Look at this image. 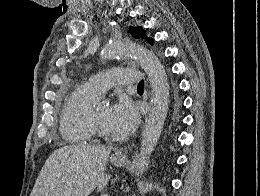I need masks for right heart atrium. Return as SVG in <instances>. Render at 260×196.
I'll list each match as a JSON object with an SVG mask.
<instances>
[{
    "label": "right heart atrium",
    "mask_w": 260,
    "mask_h": 196,
    "mask_svg": "<svg viewBox=\"0 0 260 196\" xmlns=\"http://www.w3.org/2000/svg\"><path fill=\"white\" fill-rule=\"evenodd\" d=\"M82 191L83 190H54V192H82Z\"/></svg>",
    "instance_id": "1"
}]
</instances>
